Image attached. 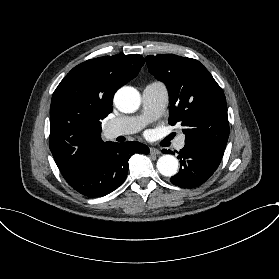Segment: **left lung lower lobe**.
Segmentation results:
<instances>
[{
    "label": "left lung lower lobe",
    "instance_id": "obj_1",
    "mask_svg": "<svg viewBox=\"0 0 279 279\" xmlns=\"http://www.w3.org/2000/svg\"><path fill=\"white\" fill-rule=\"evenodd\" d=\"M164 153L170 151L163 150ZM224 149L205 143H186L178 153L179 173L171 177V183L182 188H194L203 184L219 166Z\"/></svg>",
    "mask_w": 279,
    "mask_h": 279
}]
</instances>
